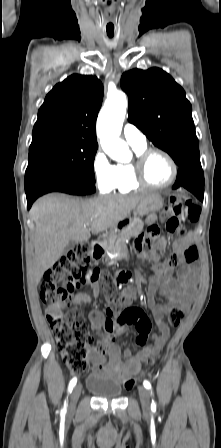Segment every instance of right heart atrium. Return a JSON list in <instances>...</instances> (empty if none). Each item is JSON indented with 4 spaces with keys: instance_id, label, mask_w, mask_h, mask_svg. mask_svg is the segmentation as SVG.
I'll use <instances>...</instances> for the list:
<instances>
[{
    "instance_id": "obj_1",
    "label": "right heart atrium",
    "mask_w": 221,
    "mask_h": 448,
    "mask_svg": "<svg viewBox=\"0 0 221 448\" xmlns=\"http://www.w3.org/2000/svg\"><path fill=\"white\" fill-rule=\"evenodd\" d=\"M92 169L98 190L104 193L112 191L117 180V166L102 150L96 152Z\"/></svg>"
}]
</instances>
